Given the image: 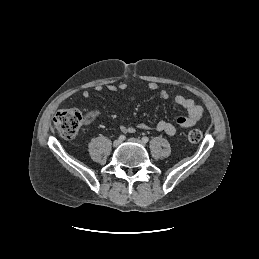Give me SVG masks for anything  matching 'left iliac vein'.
<instances>
[{"instance_id": "1", "label": "left iliac vein", "mask_w": 259, "mask_h": 259, "mask_svg": "<svg viewBox=\"0 0 259 259\" xmlns=\"http://www.w3.org/2000/svg\"><path fill=\"white\" fill-rule=\"evenodd\" d=\"M130 142H134V143H138L140 145H145V143L143 141H141L140 139H137V138H130L129 139Z\"/></svg>"}]
</instances>
